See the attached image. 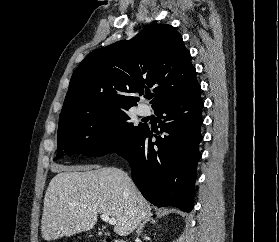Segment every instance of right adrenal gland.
<instances>
[{
	"mask_svg": "<svg viewBox=\"0 0 279 242\" xmlns=\"http://www.w3.org/2000/svg\"><path fill=\"white\" fill-rule=\"evenodd\" d=\"M152 216H153V214L150 213V214L145 218V220L143 221V223H141V224L139 225V227H138L137 230H136V233H137L138 236L141 235L142 230H143V228H144V225H145L147 222H150V223H152V224H155V223L157 222Z\"/></svg>",
	"mask_w": 279,
	"mask_h": 242,
	"instance_id": "1",
	"label": "right adrenal gland"
}]
</instances>
